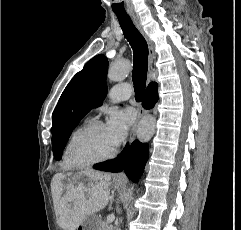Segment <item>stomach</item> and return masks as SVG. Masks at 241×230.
<instances>
[{"label": "stomach", "mask_w": 241, "mask_h": 230, "mask_svg": "<svg viewBox=\"0 0 241 230\" xmlns=\"http://www.w3.org/2000/svg\"><path fill=\"white\" fill-rule=\"evenodd\" d=\"M68 181L67 179H65ZM92 179L88 175H81L77 178V181H79L82 184H85L86 182H90ZM123 183L115 181L113 183V188L119 190L122 187ZM100 228V221L95 216H88L81 225H79L76 230H99Z\"/></svg>", "instance_id": "stomach-1"}]
</instances>
